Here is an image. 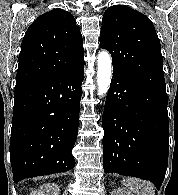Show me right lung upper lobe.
I'll use <instances>...</instances> for the list:
<instances>
[{
	"label": "right lung upper lobe",
	"mask_w": 178,
	"mask_h": 195,
	"mask_svg": "<svg viewBox=\"0 0 178 195\" xmlns=\"http://www.w3.org/2000/svg\"><path fill=\"white\" fill-rule=\"evenodd\" d=\"M83 39L73 15L54 9L39 16L22 41L16 83L70 73L84 65Z\"/></svg>",
	"instance_id": "right-lung-upper-lobe-1"
}]
</instances>
